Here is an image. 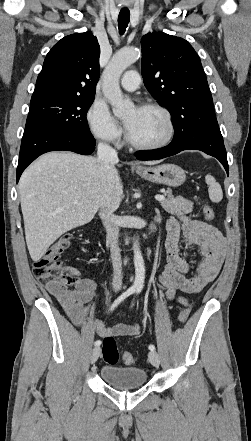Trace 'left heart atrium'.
I'll list each match as a JSON object with an SVG mask.
<instances>
[{
  "instance_id": "obj_1",
  "label": "left heart atrium",
  "mask_w": 251,
  "mask_h": 441,
  "mask_svg": "<svg viewBox=\"0 0 251 441\" xmlns=\"http://www.w3.org/2000/svg\"><path fill=\"white\" fill-rule=\"evenodd\" d=\"M126 126H127V127L129 126V123H128V122H126Z\"/></svg>"
}]
</instances>
